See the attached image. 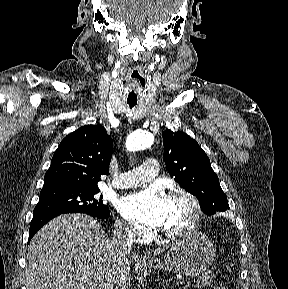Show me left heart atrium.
Masks as SVG:
<instances>
[{"label": "left heart atrium", "mask_w": 288, "mask_h": 289, "mask_svg": "<svg viewBox=\"0 0 288 289\" xmlns=\"http://www.w3.org/2000/svg\"><path fill=\"white\" fill-rule=\"evenodd\" d=\"M165 201L157 187H150L121 198L117 208L127 219L157 227L164 222Z\"/></svg>", "instance_id": "1"}]
</instances>
